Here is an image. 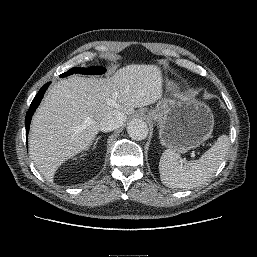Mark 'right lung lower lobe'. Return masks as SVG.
Here are the masks:
<instances>
[{"label": "right lung lower lobe", "instance_id": "obj_1", "mask_svg": "<svg viewBox=\"0 0 257 257\" xmlns=\"http://www.w3.org/2000/svg\"><path fill=\"white\" fill-rule=\"evenodd\" d=\"M50 85L49 83H46L38 92V94L35 96V98L33 99L30 108L26 114V118H25V126H26V137L28 135L29 132V126H30V122H31V118L33 113L35 112L36 108L38 107V105L41 102V99L44 96L45 91L47 90L48 86Z\"/></svg>", "mask_w": 257, "mask_h": 257}]
</instances>
